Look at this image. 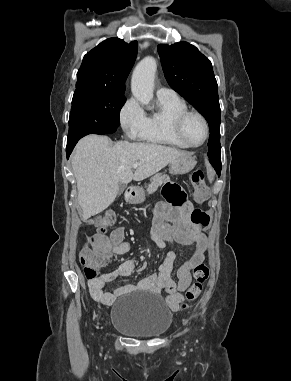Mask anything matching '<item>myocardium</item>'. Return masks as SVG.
<instances>
[{
	"label": "myocardium",
	"instance_id": "f54148a6",
	"mask_svg": "<svg viewBox=\"0 0 291 381\" xmlns=\"http://www.w3.org/2000/svg\"><path fill=\"white\" fill-rule=\"evenodd\" d=\"M191 115H195V116L199 117L201 119V121L203 122V125L205 128L204 138H203L202 142L199 144H192L184 134V130H183L184 122H185L186 118L191 116ZM173 128H174V132H175L176 136L185 145H187L188 147H191V148H198V147L204 145V143L207 141L209 134H210V127H209V123H208L206 117L201 112L196 111V110H186V111L180 113L174 120Z\"/></svg>",
	"mask_w": 291,
	"mask_h": 381
}]
</instances>
